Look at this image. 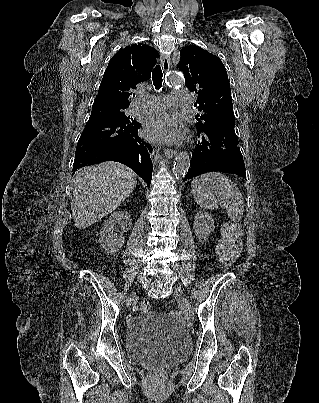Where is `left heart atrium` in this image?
I'll list each match as a JSON object with an SVG mask.
<instances>
[{
	"instance_id": "obj_1",
	"label": "left heart atrium",
	"mask_w": 319,
	"mask_h": 403,
	"mask_svg": "<svg viewBox=\"0 0 319 403\" xmlns=\"http://www.w3.org/2000/svg\"><path fill=\"white\" fill-rule=\"evenodd\" d=\"M143 131L151 141L172 143L180 139L181 124L173 115L161 112L146 119Z\"/></svg>"
}]
</instances>
